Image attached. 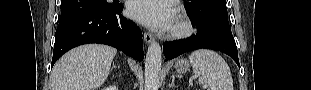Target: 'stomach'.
<instances>
[{
  "label": "stomach",
  "mask_w": 311,
  "mask_h": 90,
  "mask_svg": "<svg viewBox=\"0 0 311 90\" xmlns=\"http://www.w3.org/2000/svg\"><path fill=\"white\" fill-rule=\"evenodd\" d=\"M174 68L178 73H185L189 69V63L185 59H179L175 63Z\"/></svg>",
  "instance_id": "obj_1"
}]
</instances>
